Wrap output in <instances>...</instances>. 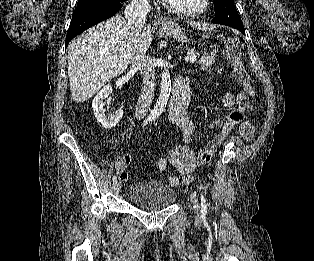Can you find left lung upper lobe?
Returning a JSON list of instances; mask_svg holds the SVG:
<instances>
[{"instance_id":"1","label":"left lung upper lobe","mask_w":314,"mask_h":261,"mask_svg":"<svg viewBox=\"0 0 314 261\" xmlns=\"http://www.w3.org/2000/svg\"><path fill=\"white\" fill-rule=\"evenodd\" d=\"M215 18L213 23L227 26H243L242 20L235 8L234 0H213Z\"/></svg>"}]
</instances>
